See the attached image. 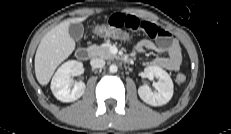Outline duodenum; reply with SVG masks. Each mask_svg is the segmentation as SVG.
<instances>
[{
    "label": "duodenum",
    "instance_id": "1",
    "mask_svg": "<svg viewBox=\"0 0 231 134\" xmlns=\"http://www.w3.org/2000/svg\"><path fill=\"white\" fill-rule=\"evenodd\" d=\"M76 57L80 61H86L90 58V50L88 48H80L76 51Z\"/></svg>",
    "mask_w": 231,
    "mask_h": 134
}]
</instances>
